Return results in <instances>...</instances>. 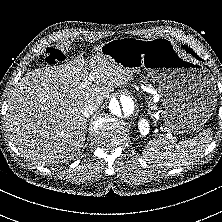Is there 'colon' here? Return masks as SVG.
Instances as JSON below:
<instances>
[{"mask_svg": "<svg viewBox=\"0 0 222 222\" xmlns=\"http://www.w3.org/2000/svg\"><path fill=\"white\" fill-rule=\"evenodd\" d=\"M65 56L62 52L53 47H49L46 49L44 60L47 64H56L62 60H64Z\"/></svg>", "mask_w": 222, "mask_h": 222, "instance_id": "5ec220e1", "label": "colon"}]
</instances>
